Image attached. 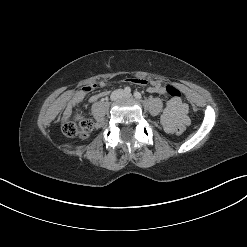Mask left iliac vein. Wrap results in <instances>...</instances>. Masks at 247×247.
<instances>
[{"label": "left iliac vein", "instance_id": "left-iliac-vein-1", "mask_svg": "<svg viewBox=\"0 0 247 247\" xmlns=\"http://www.w3.org/2000/svg\"><path fill=\"white\" fill-rule=\"evenodd\" d=\"M123 96L126 97V98H131L132 97V95L130 93H124Z\"/></svg>", "mask_w": 247, "mask_h": 247}]
</instances>
